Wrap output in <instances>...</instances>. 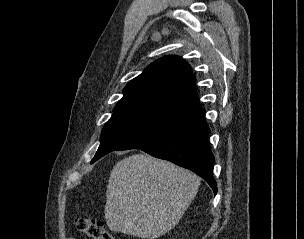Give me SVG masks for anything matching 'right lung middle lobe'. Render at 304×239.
<instances>
[{
    "mask_svg": "<svg viewBox=\"0 0 304 239\" xmlns=\"http://www.w3.org/2000/svg\"><path fill=\"white\" fill-rule=\"evenodd\" d=\"M167 121L165 117L144 111L115 112L102 130L100 146L91 163Z\"/></svg>",
    "mask_w": 304,
    "mask_h": 239,
    "instance_id": "obj_1",
    "label": "right lung middle lobe"
}]
</instances>
